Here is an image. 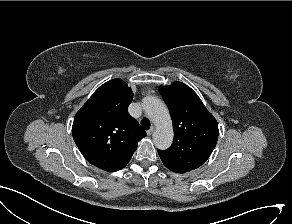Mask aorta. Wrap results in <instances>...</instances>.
<instances>
[{
  "mask_svg": "<svg viewBox=\"0 0 292 224\" xmlns=\"http://www.w3.org/2000/svg\"><path fill=\"white\" fill-rule=\"evenodd\" d=\"M143 108L156 126L153 134L155 146L161 150L169 148L173 141V127L166 105L161 99L148 96L143 100Z\"/></svg>",
  "mask_w": 292,
  "mask_h": 224,
  "instance_id": "1",
  "label": "aorta"
}]
</instances>
